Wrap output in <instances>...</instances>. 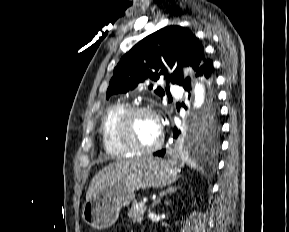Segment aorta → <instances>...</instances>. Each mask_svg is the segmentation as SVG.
<instances>
[{"label": "aorta", "instance_id": "obj_1", "mask_svg": "<svg viewBox=\"0 0 289 232\" xmlns=\"http://www.w3.org/2000/svg\"><path fill=\"white\" fill-rule=\"evenodd\" d=\"M194 95V108L197 110H203L199 120L204 119L212 112L211 98L208 96V90H206L204 85L201 83H197L195 85Z\"/></svg>", "mask_w": 289, "mask_h": 232}]
</instances>
